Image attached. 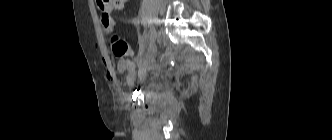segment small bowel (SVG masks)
Returning <instances> with one entry per match:
<instances>
[{
    "mask_svg": "<svg viewBox=\"0 0 332 140\" xmlns=\"http://www.w3.org/2000/svg\"><path fill=\"white\" fill-rule=\"evenodd\" d=\"M111 9H106L109 12ZM155 49H151L147 58L139 61L137 64L130 60L121 58L118 61L117 69L121 74H126V84L133 86L136 82H143L146 79L148 71L152 68V59ZM108 75L113 78V73L108 71ZM118 85L121 83L117 82Z\"/></svg>",
    "mask_w": 332,
    "mask_h": 140,
    "instance_id": "1",
    "label": "small bowel"
}]
</instances>
